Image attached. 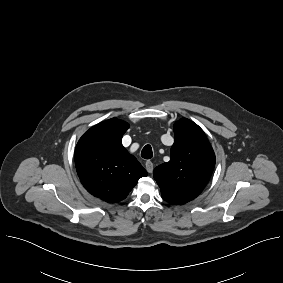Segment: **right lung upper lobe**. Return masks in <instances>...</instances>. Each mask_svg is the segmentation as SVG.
I'll list each match as a JSON object with an SVG mask.
<instances>
[{
	"mask_svg": "<svg viewBox=\"0 0 283 283\" xmlns=\"http://www.w3.org/2000/svg\"><path fill=\"white\" fill-rule=\"evenodd\" d=\"M129 125L116 118L90 128L75 149L78 176L89 193L108 202L125 199L146 170L122 145Z\"/></svg>",
	"mask_w": 283,
	"mask_h": 283,
	"instance_id": "right-lung-upper-lobe-1",
	"label": "right lung upper lobe"
}]
</instances>
